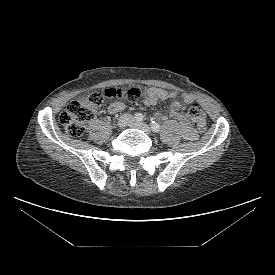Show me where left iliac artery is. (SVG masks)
<instances>
[{"label":"left iliac artery","mask_w":275,"mask_h":275,"mask_svg":"<svg viewBox=\"0 0 275 275\" xmlns=\"http://www.w3.org/2000/svg\"><path fill=\"white\" fill-rule=\"evenodd\" d=\"M150 126H151V129H152L154 132H159L160 129H161L160 124H158V123L155 122V121H152Z\"/></svg>","instance_id":"44dca946"}]
</instances>
